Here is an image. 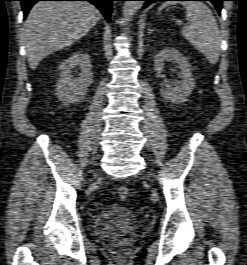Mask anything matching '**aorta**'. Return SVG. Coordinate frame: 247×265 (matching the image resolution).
<instances>
[{
	"mask_svg": "<svg viewBox=\"0 0 247 265\" xmlns=\"http://www.w3.org/2000/svg\"><path fill=\"white\" fill-rule=\"evenodd\" d=\"M141 1H126L123 7V16L128 23L131 21L133 15L141 8Z\"/></svg>",
	"mask_w": 247,
	"mask_h": 265,
	"instance_id": "1",
	"label": "aorta"
}]
</instances>
